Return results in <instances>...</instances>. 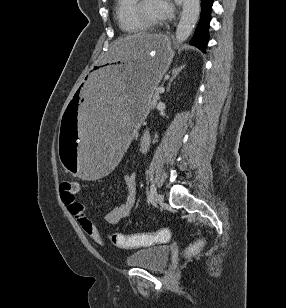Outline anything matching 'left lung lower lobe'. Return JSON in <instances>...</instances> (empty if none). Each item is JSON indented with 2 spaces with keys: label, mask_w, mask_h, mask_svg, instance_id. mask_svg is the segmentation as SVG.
<instances>
[{
  "label": "left lung lower lobe",
  "mask_w": 286,
  "mask_h": 308,
  "mask_svg": "<svg viewBox=\"0 0 286 308\" xmlns=\"http://www.w3.org/2000/svg\"><path fill=\"white\" fill-rule=\"evenodd\" d=\"M213 0H201V16L197 25L194 37L190 44L198 47L202 51L208 43V29L210 22V13L212 8Z\"/></svg>",
  "instance_id": "0a47b994"
}]
</instances>
